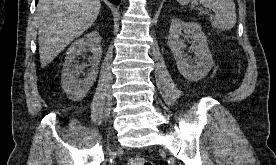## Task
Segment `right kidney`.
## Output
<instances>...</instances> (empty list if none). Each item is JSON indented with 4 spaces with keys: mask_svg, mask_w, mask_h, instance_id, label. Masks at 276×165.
Wrapping results in <instances>:
<instances>
[{
    "mask_svg": "<svg viewBox=\"0 0 276 165\" xmlns=\"http://www.w3.org/2000/svg\"><path fill=\"white\" fill-rule=\"evenodd\" d=\"M89 49L92 53L91 71L84 79H79L82 66L78 65V55ZM102 57L101 37L98 32L88 33L72 43L66 53L62 69L61 84L64 92L74 101L82 100L96 81L98 65Z\"/></svg>",
    "mask_w": 276,
    "mask_h": 165,
    "instance_id": "right-kidney-1",
    "label": "right kidney"
}]
</instances>
